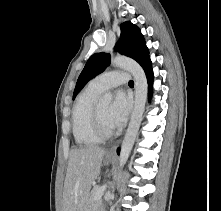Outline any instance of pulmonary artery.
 <instances>
[{"label":"pulmonary artery","instance_id":"1","mask_svg":"<svg viewBox=\"0 0 221 211\" xmlns=\"http://www.w3.org/2000/svg\"><path fill=\"white\" fill-rule=\"evenodd\" d=\"M129 81V74L124 71L113 70L105 72L93 78L90 82L92 86L99 89L100 91H105L117 87L119 85L125 84Z\"/></svg>","mask_w":221,"mask_h":211}]
</instances>
